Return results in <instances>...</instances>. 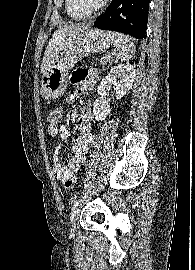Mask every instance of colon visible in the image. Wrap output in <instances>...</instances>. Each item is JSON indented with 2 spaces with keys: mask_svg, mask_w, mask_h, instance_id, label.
<instances>
[{
  "mask_svg": "<svg viewBox=\"0 0 195 270\" xmlns=\"http://www.w3.org/2000/svg\"><path fill=\"white\" fill-rule=\"evenodd\" d=\"M62 119V108L54 107L48 113V121L50 124H58ZM77 178L75 176L64 180V186L67 189H72L76 185Z\"/></svg>",
  "mask_w": 195,
  "mask_h": 270,
  "instance_id": "colon-1",
  "label": "colon"
}]
</instances>
